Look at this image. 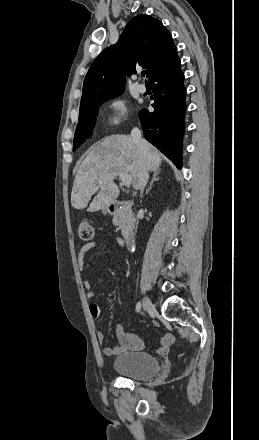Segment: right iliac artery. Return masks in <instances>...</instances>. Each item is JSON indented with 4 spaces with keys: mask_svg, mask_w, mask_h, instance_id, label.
<instances>
[{
    "mask_svg": "<svg viewBox=\"0 0 259 440\" xmlns=\"http://www.w3.org/2000/svg\"><path fill=\"white\" fill-rule=\"evenodd\" d=\"M141 310V302L136 304V311L139 312Z\"/></svg>",
    "mask_w": 259,
    "mask_h": 440,
    "instance_id": "1",
    "label": "right iliac artery"
}]
</instances>
